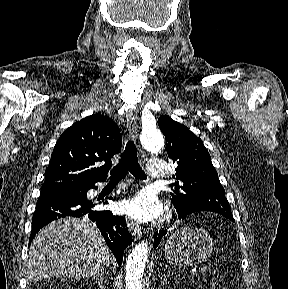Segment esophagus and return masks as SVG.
Listing matches in <instances>:
<instances>
[{
  "instance_id": "1",
  "label": "esophagus",
  "mask_w": 288,
  "mask_h": 289,
  "mask_svg": "<svg viewBox=\"0 0 288 289\" xmlns=\"http://www.w3.org/2000/svg\"><path fill=\"white\" fill-rule=\"evenodd\" d=\"M127 127L129 135L133 140H136L137 137V118L135 110H131L126 114ZM127 225L130 230V233L137 238L141 237L142 230L141 228L133 222L130 218L127 219Z\"/></svg>"
}]
</instances>
